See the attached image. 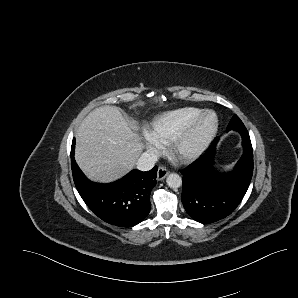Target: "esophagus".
<instances>
[{
  "instance_id": "esophagus-1",
  "label": "esophagus",
  "mask_w": 298,
  "mask_h": 298,
  "mask_svg": "<svg viewBox=\"0 0 298 298\" xmlns=\"http://www.w3.org/2000/svg\"><path fill=\"white\" fill-rule=\"evenodd\" d=\"M168 174V170L164 166H159L157 171V180H163Z\"/></svg>"
}]
</instances>
